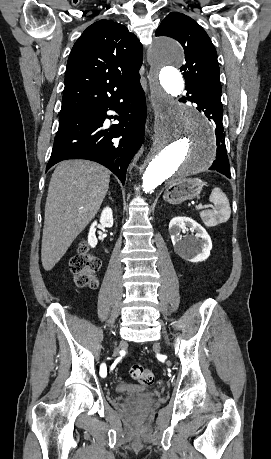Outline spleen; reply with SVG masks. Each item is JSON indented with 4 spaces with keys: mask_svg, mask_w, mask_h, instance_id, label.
<instances>
[{
    "mask_svg": "<svg viewBox=\"0 0 271 459\" xmlns=\"http://www.w3.org/2000/svg\"><path fill=\"white\" fill-rule=\"evenodd\" d=\"M209 200L215 204V208L214 210L201 212L204 224L206 226H217V224L227 222L231 216V208L226 194H223L220 188H214Z\"/></svg>",
    "mask_w": 271,
    "mask_h": 459,
    "instance_id": "spleen-1",
    "label": "spleen"
}]
</instances>
